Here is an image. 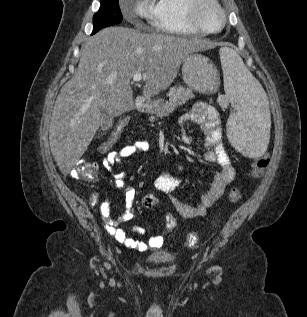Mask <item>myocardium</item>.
I'll use <instances>...</instances> for the list:
<instances>
[{"mask_svg": "<svg viewBox=\"0 0 307 317\" xmlns=\"http://www.w3.org/2000/svg\"><path fill=\"white\" fill-rule=\"evenodd\" d=\"M207 5L213 6L220 16V26L215 30L207 29L201 20V11ZM188 13L191 24L203 34L218 33L224 28L226 23V14L218 0H190Z\"/></svg>", "mask_w": 307, "mask_h": 317, "instance_id": "1", "label": "myocardium"}]
</instances>
